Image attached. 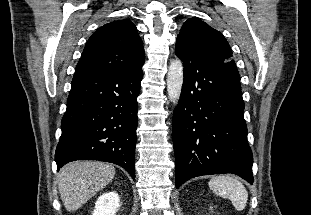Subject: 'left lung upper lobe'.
Instances as JSON below:
<instances>
[{"instance_id":"5c2ea615","label":"left lung upper lobe","mask_w":311,"mask_h":215,"mask_svg":"<svg viewBox=\"0 0 311 215\" xmlns=\"http://www.w3.org/2000/svg\"><path fill=\"white\" fill-rule=\"evenodd\" d=\"M177 41L192 51L210 59L226 70L234 78L240 80L232 50L217 30L197 18H190L183 24Z\"/></svg>"}]
</instances>
